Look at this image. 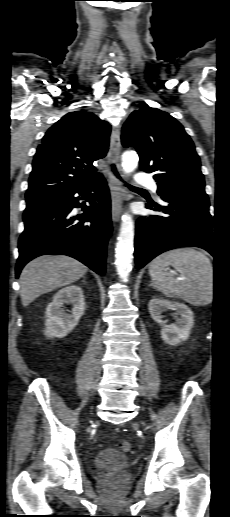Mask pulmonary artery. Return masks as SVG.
I'll use <instances>...</instances> for the list:
<instances>
[{"instance_id": "pulmonary-artery-1", "label": "pulmonary artery", "mask_w": 230, "mask_h": 517, "mask_svg": "<svg viewBox=\"0 0 230 517\" xmlns=\"http://www.w3.org/2000/svg\"><path fill=\"white\" fill-rule=\"evenodd\" d=\"M135 181L136 183L141 185H148L154 193L157 192L156 181L153 179L151 175L138 172L135 176Z\"/></svg>"}]
</instances>
